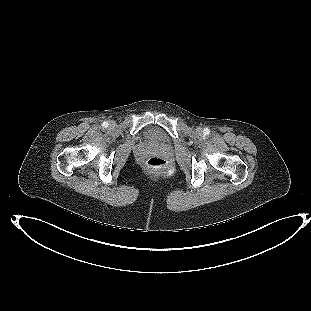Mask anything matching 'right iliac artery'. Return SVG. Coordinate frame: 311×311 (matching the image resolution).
Instances as JSON below:
<instances>
[{
	"instance_id": "obj_1",
	"label": "right iliac artery",
	"mask_w": 311,
	"mask_h": 311,
	"mask_svg": "<svg viewBox=\"0 0 311 311\" xmlns=\"http://www.w3.org/2000/svg\"><path fill=\"white\" fill-rule=\"evenodd\" d=\"M108 125H109V124H108V122H106V121H105V122H103V124H102V126H103L104 128H107V127H108Z\"/></svg>"
}]
</instances>
